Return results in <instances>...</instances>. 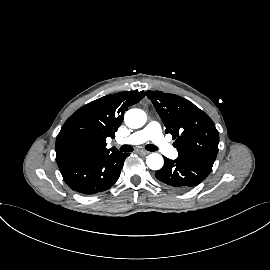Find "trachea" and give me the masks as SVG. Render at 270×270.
Wrapping results in <instances>:
<instances>
[{
  "mask_svg": "<svg viewBox=\"0 0 270 270\" xmlns=\"http://www.w3.org/2000/svg\"><path fill=\"white\" fill-rule=\"evenodd\" d=\"M145 149L148 150V151H156L157 150V147L154 146L153 144H147L145 146ZM120 150L122 152H131L133 150V147L131 145H122L120 147Z\"/></svg>",
  "mask_w": 270,
  "mask_h": 270,
  "instance_id": "3493384b",
  "label": "trachea"
}]
</instances>
